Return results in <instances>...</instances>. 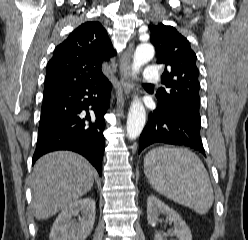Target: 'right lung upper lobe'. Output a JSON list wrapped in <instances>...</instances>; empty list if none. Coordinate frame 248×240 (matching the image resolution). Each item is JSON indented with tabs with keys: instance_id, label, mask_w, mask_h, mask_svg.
<instances>
[{
	"instance_id": "obj_1",
	"label": "right lung upper lobe",
	"mask_w": 248,
	"mask_h": 240,
	"mask_svg": "<svg viewBox=\"0 0 248 240\" xmlns=\"http://www.w3.org/2000/svg\"><path fill=\"white\" fill-rule=\"evenodd\" d=\"M113 55L104 27L97 21L83 23L56 47L47 64L43 95L105 78L102 63Z\"/></svg>"
}]
</instances>
